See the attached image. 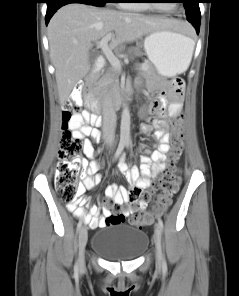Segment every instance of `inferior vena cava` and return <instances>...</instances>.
<instances>
[{"label": "inferior vena cava", "instance_id": "inferior-vena-cava-1", "mask_svg": "<svg viewBox=\"0 0 239 296\" xmlns=\"http://www.w3.org/2000/svg\"><path fill=\"white\" fill-rule=\"evenodd\" d=\"M117 116L114 109L112 93L108 88L102 94V132L103 138L108 143H113L115 138Z\"/></svg>", "mask_w": 239, "mask_h": 296}]
</instances>
